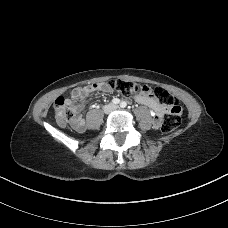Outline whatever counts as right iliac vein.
I'll return each instance as SVG.
<instances>
[{"mask_svg": "<svg viewBox=\"0 0 228 228\" xmlns=\"http://www.w3.org/2000/svg\"><path fill=\"white\" fill-rule=\"evenodd\" d=\"M111 110H112V105H107V106L104 108L105 113H109Z\"/></svg>", "mask_w": 228, "mask_h": 228, "instance_id": "63e3f726", "label": "right iliac vein"}]
</instances>
